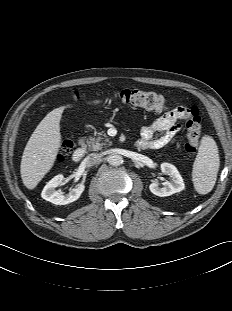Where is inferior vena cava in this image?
I'll return each mask as SVG.
<instances>
[{
    "mask_svg": "<svg viewBox=\"0 0 232 311\" xmlns=\"http://www.w3.org/2000/svg\"><path fill=\"white\" fill-rule=\"evenodd\" d=\"M86 164L88 166H93L96 164H99L101 161V155L98 153H92L89 154L86 158H85Z\"/></svg>",
    "mask_w": 232,
    "mask_h": 311,
    "instance_id": "obj_1",
    "label": "inferior vena cava"
}]
</instances>
